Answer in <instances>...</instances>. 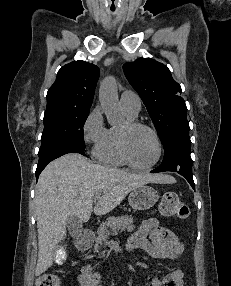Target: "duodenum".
<instances>
[{
  "label": "duodenum",
  "instance_id": "1",
  "mask_svg": "<svg viewBox=\"0 0 231 286\" xmlns=\"http://www.w3.org/2000/svg\"><path fill=\"white\" fill-rule=\"evenodd\" d=\"M94 241V234L92 232H85L76 241V247L80 251L87 250L91 247Z\"/></svg>",
  "mask_w": 231,
  "mask_h": 286
}]
</instances>
